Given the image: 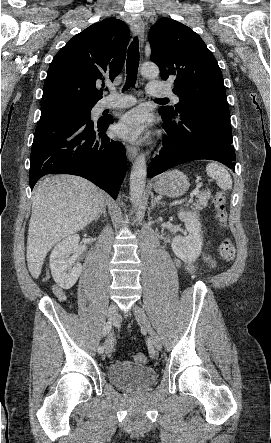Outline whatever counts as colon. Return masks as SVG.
I'll return each instance as SVG.
<instances>
[{
    "mask_svg": "<svg viewBox=\"0 0 271 443\" xmlns=\"http://www.w3.org/2000/svg\"><path fill=\"white\" fill-rule=\"evenodd\" d=\"M215 211H216V220L221 227H224L227 221V203L226 196L223 192H218L214 199ZM219 255L220 257L227 261L231 262L235 258V248L228 238H223L219 244ZM134 360L137 363L145 364L148 362V357L144 353H136L134 355Z\"/></svg>",
    "mask_w": 271,
    "mask_h": 443,
    "instance_id": "5ec220e1",
    "label": "colon"
}]
</instances>
